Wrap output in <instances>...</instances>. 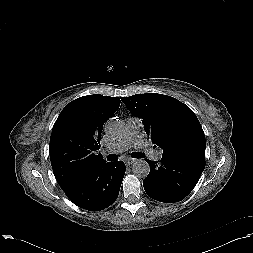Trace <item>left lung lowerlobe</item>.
<instances>
[{"label": "left lung lower lobe", "mask_w": 253, "mask_h": 253, "mask_svg": "<svg viewBox=\"0 0 253 253\" xmlns=\"http://www.w3.org/2000/svg\"><path fill=\"white\" fill-rule=\"evenodd\" d=\"M150 173L143 181L145 192L154 200L174 203L183 200L197 184L205 157L193 154L162 155L160 162L145 159Z\"/></svg>", "instance_id": "1"}]
</instances>
